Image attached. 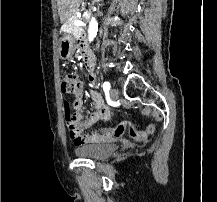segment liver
Masks as SVG:
<instances>
[{
    "instance_id": "6515ba94",
    "label": "liver",
    "mask_w": 217,
    "mask_h": 202,
    "mask_svg": "<svg viewBox=\"0 0 217 202\" xmlns=\"http://www.w3.org/2000/svg\"><path fill=\"white\" fill-rule=\"evenodd\" d=\"M81 0H57L58 14L61 24L68 22L69 18L77 12Z\"/></svg>"
}]
</instances>
